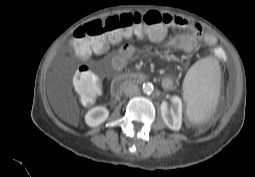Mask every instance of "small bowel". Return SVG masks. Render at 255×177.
I'll use <instances>...</instances> for the list:
<instances>
[{"label":"small bowel","instance_id":"c3829d8e","mask_svg":"<svg viewBox=\"0 0 255 177\" xmlns=\"http://www.w3.org/2000/svg\"><path fill=\"white\" fill-rule=\"evenodd\" d=\"M167 27H174L183 30H188L189 34H179L172 37L167 46L171 49L190 52L194 50L199 44L212 46L215 43V38L211 34L203 33L201 26L189 19L164 15ZM166 34V28L162 37L154 40H161ZM134 47L130 44H123L114 55L112 59V67L115 71L122 70L134 55ZM101 53V52H98ZM162 87L166 90H171L174 87V80L170 76H165L161 81Z\"/></svg>","mask_w":255,"mask_h":177}]
</instances>
